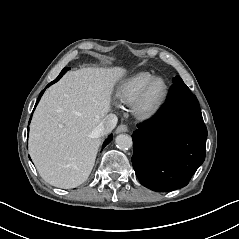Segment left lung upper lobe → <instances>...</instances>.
<instances>
[{
  "instance_id": "5c2ea615",
  "label": "left lung upper lobe",
  "mask_w": 239,
  "mask_h": 239,
  "mask_svg": "<svg viewBox=\"0 0 239 239\" xmlns=\"http://www.w3.org/2000/svg\"><path fill=\"white\" fill-rule=\"evenodd\" d=\"M179 82H183V80L179 77L173 78V83H179Z\"/></svg>"
}]
</instances>
